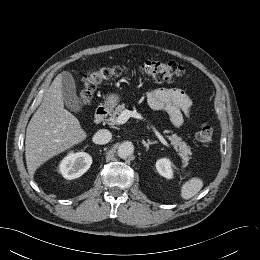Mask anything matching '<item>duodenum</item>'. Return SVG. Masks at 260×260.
I'll use <instances>...</instances> for the list:
<instances>
[{"mask_svg": "<svg viewBox=\"0 0 260 260\" xmlns=\"http://www.w3.org/2000/svg\"><path fill=\"white\" fill-rule=\"evenodd\" d=\"M108 107L103 105V106H99L94 114L93 117V122L95 124H99L101 123L103 120L106 119V117L108 116Z\"/></svg>", "mask_w": 260, "mask_h": 260, "instance_id": "obj_1", "label": "duodenum"}]
</instances>
